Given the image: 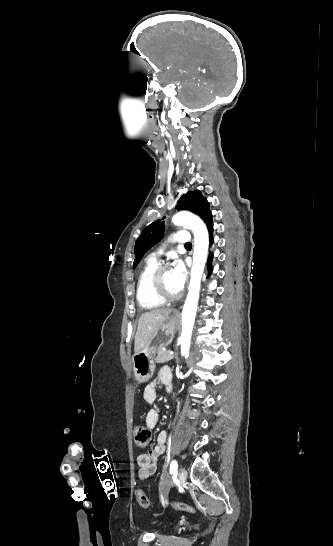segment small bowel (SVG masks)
Instances as JSON below:
<instances>
[{
  "instance_id": "obj_1",
  "label": "small bowel",
  "mask_w": 333,
  "mask_h": 546,
  "mask_svg": "<svg viewBox=\"0 0 333 546\" xmlns=\"http://www.w3.org/2000/svg\"><path fill=\"white\" fill-rule=\"evenodd\" d=\"M158 383L165 385L168 389L171 386V371L168 367H162L155 378L147 385L143 392V399L148 404H153L158 397ZM159 420V413L155 408L150 409L145 418L146 425L149 429L156 427ZM167 433L161 431L156 437L154 447L148 453H142L137 457L139 466L138 477L141 480L148 479L156 473V459L164 454L166 449Z\"/></svg>"
}]
</instances>
